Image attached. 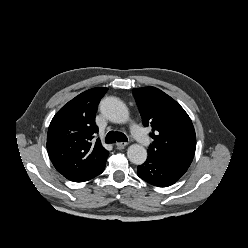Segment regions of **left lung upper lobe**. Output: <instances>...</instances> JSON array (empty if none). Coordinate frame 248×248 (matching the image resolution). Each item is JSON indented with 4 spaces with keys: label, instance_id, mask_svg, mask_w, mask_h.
<instances>
[{
    "label": "left lung upper lobe",
    "instance_id": "1",
    "mask_svg": "<svg viewBox=\"0 0 248 248\" xmlns=\"http://www.w3.org/2000/svg\"><path fill=\"white\" fill-rule=\"evenodd\" d=\"M144 126H151L154 142L148 155L189 168L196 149V134L185 110L155 87L133 89Z\"/></svg>",
    "mask_w": 248,
    "mask_h": 248
}]
</instances>
